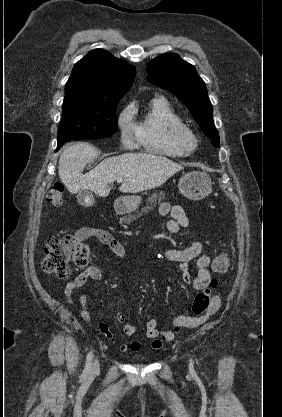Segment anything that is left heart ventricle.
<instances>
[{
  "label": "left heart ventricle",
  "instance_id": "left-heart-ventricle-1",
  "mask_svg": "<svg viewBox=\"0 0 282 417\" xmlns=\"http://www.w3.org/2000/svg\"><path fill=\"white\" fill-rule=\"evenodd\" d=\"M171 122H169V121H165L164 123H163V125H162V128H163V131L165 132V133H167V134H169L170 133V129H171Z\"/></svg>",
  "mask_w": 282,
  "mask_h": 417
}]
</instances>
